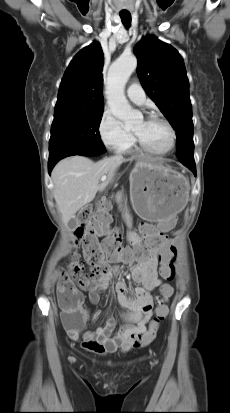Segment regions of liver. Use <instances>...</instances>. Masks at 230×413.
Instances as JSON below:
<instances>
[{
	"label": "liver",
	"mask_w": 230,
	"mask_h": 413,
	"mask_svg": "<svg viewBox=\"0 0 230 413\" xmlns=\"http://www.w3.org/2000/svg\"><path fill=\"white\" fill-rule=\"evenodd\" d=\"M124 161L109 157L94 163L83 156H72L58 162L52 171L54 199L65 225L108 186ZM104 175L107 179L100 183Z\"/></svg>",
	"instance_id": "6515ba94"
}]
</instances>
